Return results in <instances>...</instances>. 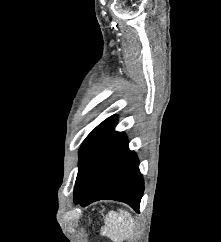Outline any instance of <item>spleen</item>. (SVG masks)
<instances>
[{
	"mask_svg": "<svg viewBox=\"0 0 221 242\" xmlns=\"http://www.w3.org/2000/svg\"><path fill=\"white\" fill-rule=\"evenodd\" d=\"M135 222L130 213L125 210L109 212L105 218L104 235L114 242H122L134 236Z\"/></svg>",
	"mask_w": 221,
	"mask_h": 242,
	"instance_id": "spleen-1",
	"label": "spleen"
}]
</instances>
